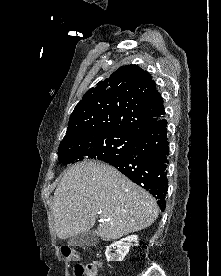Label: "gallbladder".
Returning <instances> with one entry per match:
<instances>
[{"label": "gallbladder", "instance_id": "gallbladder-1", "mask_svg": "<svg viewBox=\"0 0 221 276\" xmlns=\"http://www.w3.org/2000/svg\"><path fill=\"white\" fill-rule=\"evenodd\" d=\"M99 239L93 230L79 233L68 240L70 246H95Z\"/></svg>", "mask_w": 221, "mask_h": 276}]
</instances>
